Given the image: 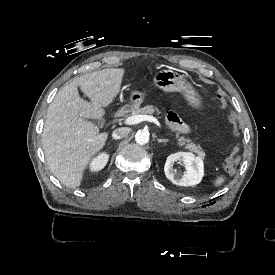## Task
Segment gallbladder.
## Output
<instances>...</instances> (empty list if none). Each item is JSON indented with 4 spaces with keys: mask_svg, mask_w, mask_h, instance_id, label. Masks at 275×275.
Returning a JSON list of instances; mask_svg holds the SVG:
<instances>
[{
    "mask_svg": "<svg viewBox=\"0 0 275 275\" xmlns=\"http://www.w3.org/2000/svg\"><path fill=\"white\" fill-rule=\"evenodd\" d=\"M84 120L90 121V122H92L94 124H97L99 127H103V125L105 123V120L103 118H101V119H86L85 118Z\"/></svg>",
    "mask_w": 275,
    "mask_h": 275,
    "instance_id": "obj_1",
    "label": "gallbladder"
}]
</instances>
